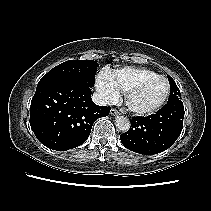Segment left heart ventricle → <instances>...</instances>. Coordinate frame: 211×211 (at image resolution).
<instances>
[{
  "instance_id": "1",
  "label": "left heart ventricle",
  "mask_w": 211,
  "mask_h": 211,
  "mask_svg": "<svg viewBox=\"0 0 211 211\" xmlns=\"http://www.w3.org/2000/svg\"><path fill=\"white\" fill-rule=\"evenodd\" d=\"M165 91V81L155 79L133 96L132 103L139 108H148L156 104L163 97Z\"/></svg>"
}]
</instances>
